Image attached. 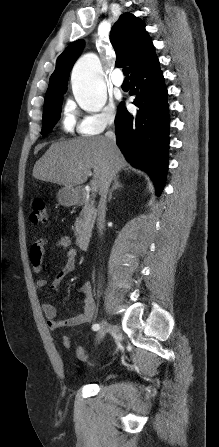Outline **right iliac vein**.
<instances>
[{"label": "right iliac vein", "mask_w": 219, "mask_h": 447, "mask_svg": "<svg viewBox=\"0 0 219 447\" xmlns=\"http://www.w3.org/2000/svg\"><path fill=\"white\" fill-rule=\"evenodd\" d=\"M109 328V323L106 320H103L101 323V327L96 334V344L100 343V341L104 338Z\"/></svg>", "instance_id": "right-iliac-vein-1"}]
</instances>
